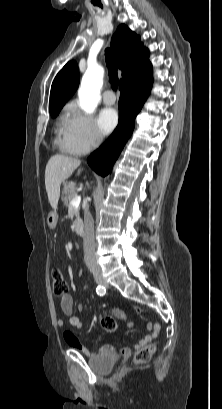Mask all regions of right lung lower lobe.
<instances>
[{
	"mask_svg": "<svg viewBox=\"0 0 222 409\" xmlns=\"http://www.w3.org/2000/svg\"><path fill=\"white\" fill-rule=\"evenodd\" d=\"M152 86V71L120 84L119 123L112 135L88 158V164L98 174L107 175L133 132L136 115L140 112Z\"/></svg>",
	"mask_w": 222,
	"mask_h": 409,
	"instance_id": "1",
	"label": "right lung lower lobe"
}]
</instances>
